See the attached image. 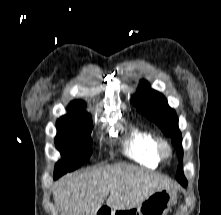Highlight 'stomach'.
<instances>
[{"mask_svg": "<svg viewBox=\"0 0 221 215\" xmlns=\"http://www.w3.org/2000/svg\"><path fill=\"white\" fill-rule=\"evenodd\" d=\"M177 202L173 189H162L154 192L136 207L115 210L112 215H167Z\"/></svg>", "mask_w": 221, "mask_h": 215, "instance_id": "obj_1", "label": "stomach"}]
</instances>
